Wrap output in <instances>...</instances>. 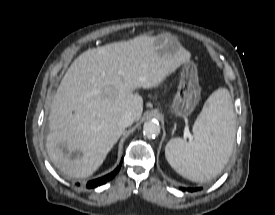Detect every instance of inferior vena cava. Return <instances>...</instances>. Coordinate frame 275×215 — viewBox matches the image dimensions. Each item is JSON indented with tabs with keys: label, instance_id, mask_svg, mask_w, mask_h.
Instances as JSON below:
<instances>
[{
	"label": "inferior vena cava",
	"instance_id": "obj_1",
	"mask_svg": "<svg viewBox=\"0 0 275 215\" xmlns=\"http://www.w3.org/2000/svg\"><path fill=\"white\" fill-rule=\"evenodd\" d=\"M133 121H134V118L132 113L125 112L118 120V125L125 128L132 125Z\"/></svg>",
	"mask_w": 275,
	"mask_h": 215
}]
</instances>
